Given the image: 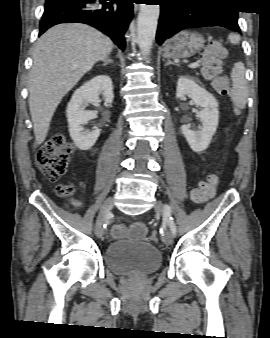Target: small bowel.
<instances>
[{"label": "small bowel", "instance_id": "c3829d8e", "mask_svg": "<svg viewBox=\"0 0 270 338\" xmlns=\"http://www.w3.org/2000/svg\"><path fill=\"white\" fill-rule=\"evenodd\" d=\"M73 202L78 205L79 201L74 199ZM121 234L120 225H116L113 236L117 237ZM132 237L137 240H144L146 237L145 227L142 223H135L132 227Z\"/></svg>", "mask_w": 270, "mask_h": 338}]
</instances>
